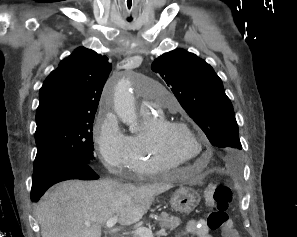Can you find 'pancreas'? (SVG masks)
<instances>
[{
    "mask_svg": "<svg viewBox=\"0 0 297 237\" xmlns=\"http://www.w3.org/2000/svg\"><path fill=\"white\" fill-rule=\"evenodd\" d=\"M161 227L167 228L169 230H174L181 224V220L178 217L170 216L168 213L163 212L158 219ZM133 237H138L133 235Z\"/></svg>",
    "mask_w": 297,
    "mask_h": 237,
    "instance_id": "obj_1",
    "label": "pancreas"
}]
</instances>
